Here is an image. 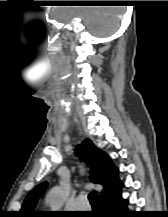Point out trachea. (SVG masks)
Returning <instances> with one entry per match:
<instances>
[{
    "label": "trachea",
    "mask_w": 168,
    "mask_h": 217,
    "mask_svg": "<svg viewBox=\"0 0 168 217\" xmlns=\"http://www.w3.org/2000/svg\"><path fill=\"white\" fill-rule=\"evenodd\" d=\"M88 198L91 205L98 206V195L96 191L89 193Z\"/></svg>",
    "instance_id": "trachea-1"
}]
</instances>
